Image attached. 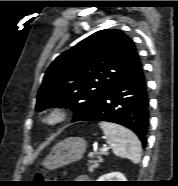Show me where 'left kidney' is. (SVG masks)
Segmentation results:
<instances>
[{
  "instance_id": "left-kidney-1",
  "label": "left kidney",
  "mask_w": 178,
  "mask_h": 186,
  "mask_svg": "<svg viewBox=\"0 0 178 186\" xmlns=\"http://www.w3.org/2000/svg\"><path fill=\"white\" fill-rule=\"evenodd\" d=\"M98 181H126V178L122 173L113 172L99 177Z\"/></svg>"
}]
</instances>
